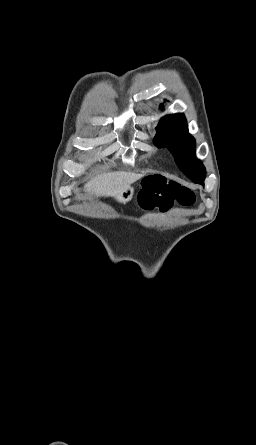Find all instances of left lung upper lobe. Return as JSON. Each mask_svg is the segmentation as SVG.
<instances>
[{
  "instance_id": "1",
  "label": "left lung upper lobe",
  "mask_w": 256,
  "mask_h": 445,
  "mask_svg": "<svg viewBox=\"0 0 256 445\" xmlns=\"http://www.w3.org/2000/svg\"><path fill=\"white\" fill-rule=\"evenodd\" d=\"M154 142L158 147L167 146L174 154L176 163L194 183L204 184L206 170L195 154V140L188 133L183 114L163 117L156 127Z\"/></svg>"
}]
</instances>
